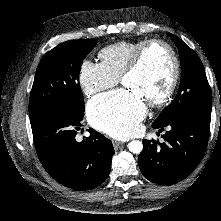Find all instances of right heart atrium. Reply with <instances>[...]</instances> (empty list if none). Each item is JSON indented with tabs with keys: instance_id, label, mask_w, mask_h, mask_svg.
<instances>
[{
	"instance_id": "1",
	"label": "right heart atrium",
	"mask_w": 221,
	"mask_h": 221,
	"mask_svg": "<svg viewBox=\"0 0 221 221\" xmlns=\"http://www.w3.org/2000/svg\"><path fill=\"white\" fill-rule=\"evenodd\" d=\"M79 79L82 89L88 96L110 89L118 83V78L106 71L101 63L89 60L83 62Z\"/></svg>"
}]
</instances>
